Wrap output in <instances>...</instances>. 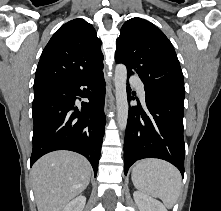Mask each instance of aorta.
<instances>
[{"mask_svg": "<svg viewBox=\"0 0 221 211\" xmlns=\"http://www.w3.org/2000/svg\"><path fill=\"white\" fill-rule=\"evenodd\" d=\"M127 68L123 64H118L115 68V94L117 104V122L120 130H125L128 120L127 101Z\"/></svg>", "mask_w": 221, "mask_h": 211, "instance_id": "aorta-1", "label": "aorta"}]
</instances>
